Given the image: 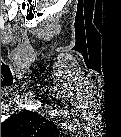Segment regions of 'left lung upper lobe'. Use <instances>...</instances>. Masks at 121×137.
Segmentation results:
<instances>
[{
	"label": "left lung upper lobe",
	"instance_id": "obj_1",
	"mask_svg": "<svg viewBox=\"0 0 121 137\" xmlns=\"http://www.w3.org/2000/svg\"><path fill=\"white\" fill-rule=\"evenodd\" d=\"M56 130L48 118L33 111H22L1 123V135L14 136H48Z\"/></svg>",
	"mask_w": 121,
	"mask_h": 137
}]
</instances>
